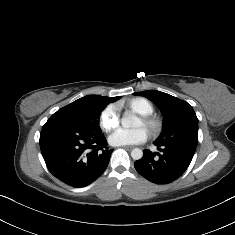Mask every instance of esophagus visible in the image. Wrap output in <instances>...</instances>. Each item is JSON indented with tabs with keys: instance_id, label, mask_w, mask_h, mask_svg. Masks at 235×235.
Wrapping results in <instances>:
<instances>
[{
	"instance_id": "34e87169",
	"label": "esophagus",
	"mask_w": 235,
	"mask_h": 235,
	"mask_svg": "<svg viewBox=\"0 0 235 235\" xmlns=\"http://www.w3.org/2000/svg\"><path fill=\"white\" fill-rule=\"evenodd\" d=\"M121 148L130 151V150H132L134 147H133V146H121Z\"/></svg>"
}]
</instances>
